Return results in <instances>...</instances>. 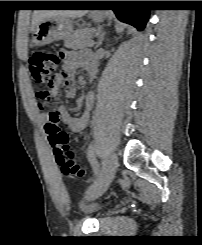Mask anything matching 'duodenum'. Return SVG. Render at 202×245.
Wrapping results in <instances>:
<instances>
[{"mask_svg":"<svg viewBox=\"0 0 202 245\" xmlns=\"http://www.w3.org/2000/svg\"><path fill=\"white\" fill-rule=\"evenodd\" d=\"M89 74L92 76L94 74V70L93 69H89L88 70Z\"/></svg>","mask_w":202,"mask_h":245,"instance_id":"1","label":"duodenum"}]
</instances>
